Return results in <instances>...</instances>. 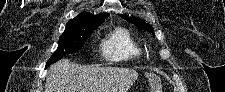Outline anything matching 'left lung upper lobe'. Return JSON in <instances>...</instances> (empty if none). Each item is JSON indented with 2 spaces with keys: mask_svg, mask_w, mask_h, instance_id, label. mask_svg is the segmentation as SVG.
Returning <instances> with one entry per match:
<instances>
[{
  "mask_svg": "<svg viewBox=\"0 0 225 92\" xmlns=\"http://www.w3.org/2000/svg\"><path fill=\"white\" fill-rule=\"evenodd\" d=\"M124 19H126L128 22L135 24L140 29H144L149 31L150 33L154 34L153 28L151 25L146 24L145 21L137 18V17H128L127 15L122 16Z\"/></svg>",
  "mask_w": 225,
  "mask_h": 92,
  "instance_id": "obj_1",
  "label": "left lung upper lobe"
}]
</instances>
